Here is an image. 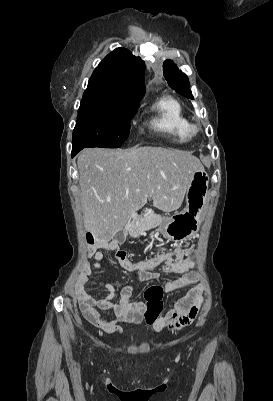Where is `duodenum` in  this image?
<instances>
[{
  "label": "duodenum",
  "instance_id": "410a0bca",
  "mask_svg": "<svg viewBox=\"0 0 273 401\" xmlns=\"http://www.w3.org/2000/svg\"><path fill=\"white\" fill-rule=\"evenodd\" d=\"M137 220H138V215L135 214V213H133V214L130 216V218H129V221H128L127 225H126V228H127V229H130V228L132 227V225H133Z\"/></svg>",
  "mask_w": 273,
  "mask_h": 401
}]
</instances>
